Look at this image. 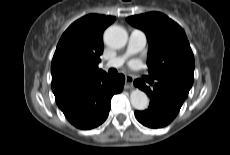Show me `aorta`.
I'll list each match as a JSON object with an SVG mask.
<instances>
[{
  "instance_id": "aorta-1",
  "label": "aorta",
  "mask_w": 230,
  "mask_h": 155,
  "mask_svg": "<svg viewBox=\"0 0 230 155\" xmlns=\"http://www.w3.org/2000/svg\"><path fill=\"white\" fill-rule=\"evenodd\" d=\"M103 37L106 45L111 48L119 49L125 46L128 34L123 27L114 25L105 30ZM130 102L137 110H145L149 105L147 95L139 89H135L131 92Z\"/></svg>"
}]
</instances>
